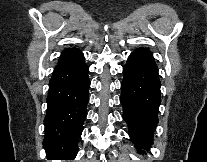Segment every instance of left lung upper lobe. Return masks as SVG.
<instances>
[{"instance_id":"left-lung-upper-lobe-1","label":"left lung upper lobe","mask_w":207,"mask_h":162,"mask_svg":"<svg viewBox=\"0 0 207 162\" xmlns=\"http://www.w3.org/2000/svg\"><path fill=\"white\" fill-rule=\"evenodd\" d=\"M139 50H146V51H149V50H147V49H144V48H140Z\"/></svg>"}]
</instances>
